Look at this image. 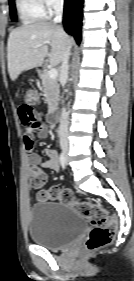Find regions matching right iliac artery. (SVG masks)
<instances>
[{
	"instance_id": "right-iliac-artery-1",
	"label": "right iliac artery",
	"mask_w": 134,
	"mask_h": 281,
	"mask_svg": "<svg viewBox=\"0 0 134 281\" xmlns=\"http://www.w3.org/2000/svg\"><path fill=\"white\" fill-rule=\"evenodd\" d=\"M59 160L62 168L64 169L66 166V159L63 152L60 154Z\"/></svg>"
}]
</instances>
